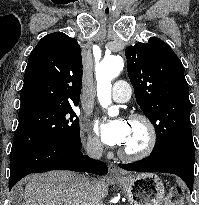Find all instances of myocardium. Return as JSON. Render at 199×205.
I'll list each match as a JSON object with an SVG mask.
<instances>
[{"instance_id": "1", "label": "myocardium", "mask_w": 199, "mask_h": 205, "mask_svg": "<svg viewBox=\"0 0 199 205\" xmlns=\"http://www.w3.org/2000/svg\"><path fill=\"white\" fill-rule=\"evenodd\" d=\"M130 122L141 124L145 130V141L143 145L136 150H127L121 148L119 155L126 160H141L148 157L155 149L157 144V130L151 119L142 114L134 113L129 117Z\"/></svg>"}]
</instances>
